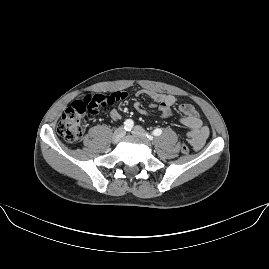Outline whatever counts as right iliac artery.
Segmentation results:
<instances>
[{
    "mask_svg": "<svg viewBox=\"0 0 269 269\" xmlns=\"http://www.w3.org/2000/svg\"><path fill=\"white\" fill-rule=\"evenodd\" d=\"M134 123L131 119H127L125 122H124V129L126 131H130L133 127Z\"/></svg>",
    "mask_w": 269,
    "mask_h": 269,
    "instance_id": "82829eb1",
    "label": "right iliac artery"
}]
</instances>
